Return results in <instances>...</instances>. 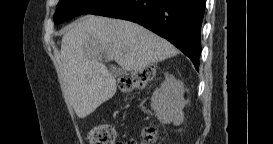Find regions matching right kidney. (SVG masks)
<instances>
[{
    "instance_id": "ca27d5eb",
    "label": "right kidney",
    "mask_w": 273,
    "mask_h": 144,
    "mask_svg": "<svg viewBox=\"0 0 273 144\" xmlns=\"http://www.w3.org/2000/svg\"><path fill=\"white\" fill-rule=\"evenodd\" d=\"M183 95L184 85L175 79L165 81L161 88L153 93L151 108L162 124L173 123L179 126L183 123V109L186 105Z\"/></svg>"
}]
</instances>
